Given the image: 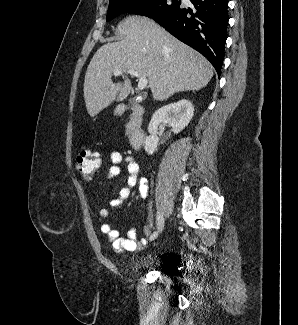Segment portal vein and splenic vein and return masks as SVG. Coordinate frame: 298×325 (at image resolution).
<instances>
[{
    "label": "portal vein and splenic vein",
    "mask_w": 298,
    "mask_h": 325,
    "mask_svg": "<svg viewBox=\"0 0 298 325\" xmlns=\"http://www.w3.org/2000/svg\"><path fill=\"white\" fill-rule=\"evenodd\" d=\"M126 72H129V74H132V76H137L139 82H138V88L139 90H143L145 86L148 84V78L147 76H142V74H139L137 70H126ZM114 76H119V74H123V70L121 68H116V70H113Z\"/></svg>",
    "instance_id": "1"
}]
</instances>
